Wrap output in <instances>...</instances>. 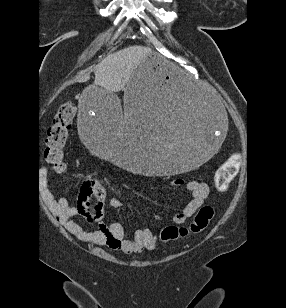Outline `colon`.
Segmentation results:
<instances>
[{
    "label": "colon",
    "instance_id": "obj_1",
    "mask_svg": "<svg viewBox=\"0 0 286 308\" xmlns=\"http://www.w3.org/2000/svg\"><path fill=\"white\" fill-rule=\"evenodd\" d=\"M75 116V104L70 101L63 103L59 107L53 124L48 131L47 147L44 156L50 169L56 174H63L66 171L64 149ZM241 163V155L233 153L218 168L214 177V184L218 191L224 192L229 188L241 167ZM213 215L214 210L211 206H203L198 210L195 218L188 226H167L163 228L160 233V239L163 242H170L185 238L190 234L200 233L207 228Z\"/></svg>",
    "mask_w": 286,
    "mask_h": 308
}]
</instances>
